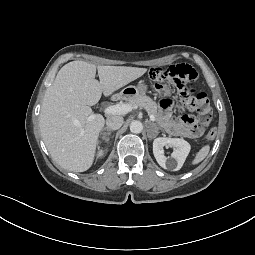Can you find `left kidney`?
<instances>
[{
    "mask_svg": "<svg viewBox=\"0 0 255 255\" xmlns=\"http://www.w3.org/2000/svg\"><path fill=\"white\" fill-rule=\"evenodd\" d=\"M164 147L174 148L171 157L165 156ZM190 149V144L183 138L159 137L153 141V154L156 161L162 168L171 171H178L181 169Z\"/></svg>",
    "mask_w": 255,
    "mask_h": 255,
    "instance_id": "5707ae66",
    "label": "left kidney"
}]
</instances>
